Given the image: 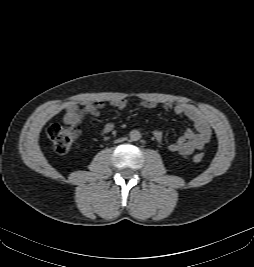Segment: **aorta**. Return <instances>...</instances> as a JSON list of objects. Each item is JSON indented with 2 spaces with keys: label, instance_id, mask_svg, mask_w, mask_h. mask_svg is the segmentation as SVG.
Segmentation results:
<instances>
[{
  "label": "aorta",
  "instance_id": "aorta-1",
  "mask_svg": "<svg viewBox=\"0 0 254 267\" xmlns=\"http://www.w3.org/2000/svg\"><path fill=\"white\" fill-rule=\"evenodd\" d=\"M129 136L131 141H138L141 138V133L138 130H132Z\"/></svg>",
  "mask_w": 254,
  "mask_h": 267
}]
</instances>
